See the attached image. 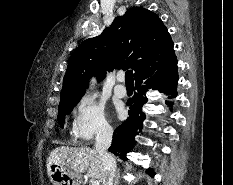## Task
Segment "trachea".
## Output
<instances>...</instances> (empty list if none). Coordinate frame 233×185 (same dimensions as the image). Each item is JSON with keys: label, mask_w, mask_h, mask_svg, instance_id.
<instances>
[{"label": "trachea", "mask_w": 233, "mask_h": 185, "mask_svg": "<svg viewBox=\"0 0 233 185\" xmlns=\"http://www.w3.org/2000/svg\"><path fill=\"white\" fill-rule=\"evenodd\" d=\"M125 82H126V84H133V72H132V70L126 71Z\"/></svg>", "instance_id": "obj_1"}]
</instances>
